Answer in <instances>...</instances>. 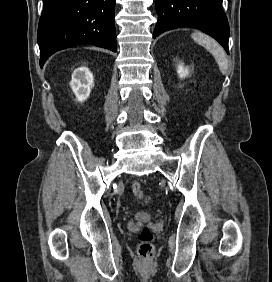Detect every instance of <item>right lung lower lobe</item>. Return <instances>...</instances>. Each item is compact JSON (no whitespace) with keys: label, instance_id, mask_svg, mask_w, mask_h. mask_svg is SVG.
Here are the masks:
<instances>
[{"label":"right lung lower lobe","instance_id":"98d812e1","mask_svg":"<svg viewBox=\"0 0 272 282\" xmlns=\"http://www.w3.org/2000/svg\"><path fill=\"white\" fill-rule=\"evenodd\" d=\"M38 26L40 66L57 51L92 44L116 52L115 0H43Z\"/></svg>","mask_w":272,"mask_h":282}]
</instances>
